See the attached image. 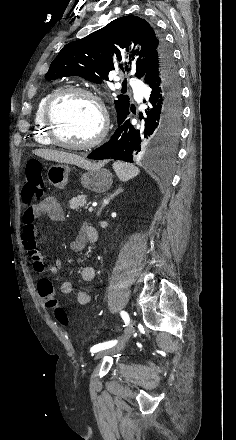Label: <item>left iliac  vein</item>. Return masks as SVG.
Returning a JSON list of instances; mask_svg holds the SVG:
<instances>
[{"mask_svg": "<svg viewBox=\"0 0 236 440\" xmlns=\"http://www.w3.org/2000/svg\"><path fill=\"white\" fill-rule=\"evenodd\" d=\"M133 328H134V321L132 319H130L129 323H128L127 330H126L125 337L118 344L114 345L110 349H107V350H104V351H100L99 353H97L95 358L99 359V358L104 357L107 354L116 353V352L122 350L124 348L126 342L131 337V335L133 333Z\"/></svg>", "mask_w": 236, "mask_h": 440, "instance_id": "left-iliac-vein-1", "label": "left iliac vein"}]
</instances>
